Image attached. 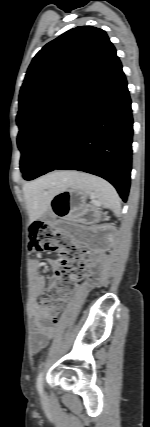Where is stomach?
Masks as SVG:
<instances>
[{
	"instance_id": "0dacf381",
	"label": "stomach",
	"mask_w": 150,
	"mask_h": 427,
	"mask_svg": "<svg viewBox=\"0 0 150 427\" xmlns=\"http://www.w3.org/2000/svg\"><path fill=\"white\" fill-rule=\"evenodd\" d=\"M50 208L59 218L79 221L89 209L87 195L83 190L70 185L53 196Z\"/></svg>"
}]
</instances>
